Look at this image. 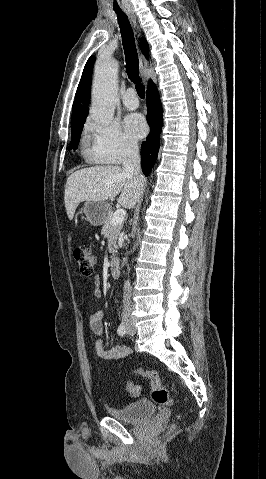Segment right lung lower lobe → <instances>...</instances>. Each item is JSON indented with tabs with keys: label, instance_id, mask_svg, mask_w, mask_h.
Segmentation results:
<instances>
[{
	"label": "right lung lower lobe",
	"instance_id": "obj_1",
	"mask_svg": "<svg viewBox=\"0 0 266 479\" xmlns=\"http://www.w3.org/2000/svg\"><path fill=\"white\" fill-rule=\"evenodd\" d=\"M147 97V121L150 126V134L142 144L141 166L145 176H148L157 159L160 147V133L163 125L162 105L156 85L152 82L146 91Z\"/></svg>",
	"mask_w": 266,
	"mask_h": 479
}]
</instances>
